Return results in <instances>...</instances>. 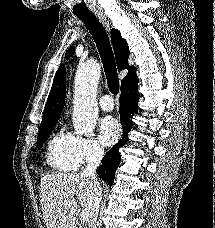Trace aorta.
Here are the masks:
<instances>
[{"mask_svg":"<svg viewBox=\"0 0 215 228\" xmlns=\"http://www.w3.org/2000/svg\"><path fill=\"white\" fill-rule=\"evenodd\" d=\"M101 68L98 62H86L78 68L75 82V104L73 108V126L75 134H92L98 120L96 88Z\"/></svg>","mask_w":215,"mask_h":228,"instance_id":"1","label":"aorta"}]
</instances>
